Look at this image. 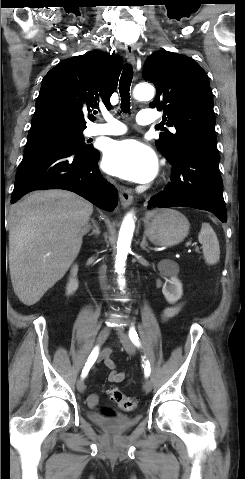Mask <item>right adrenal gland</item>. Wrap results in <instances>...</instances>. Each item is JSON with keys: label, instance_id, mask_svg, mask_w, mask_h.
<instances>
[{"label": "right adrenal gland", "instance_id": "1", "mask_svg": "<svg viewBox=\"0 0 245 479\" xmlns=\"http://www.w3.org/2000/svg\"><path fill=\"white\" fill-rule=\"evenodd\" d=\"M91 223H92V227H89L92 228V232L90 234H88V236H99L100 235V229H99V226L98 224L96 223V221L94 219H91Z\"/></svg>", "mask_w": 245, "mask_h": 479}]
</instances>
